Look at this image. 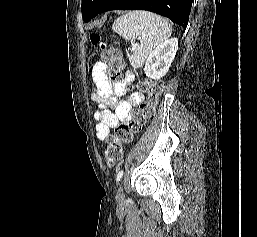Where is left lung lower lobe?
I'll return each instance as SVG.
<instances>
[{"label": "left lung lower lobe", "mask_w": 257, "mask_h": 237, "mask_svg": "<svg viewBox=\"0 0 257 237\" xmlns=\"http://www.w3.org/2000/svg\"><path fill=\"white\" fill-rule=\"evenodd\" d=\"M193 0H108L99 13L110 10H147L187 27Z\"/></svg>", "instance_id": "left-lung-lower-lobe-1"}]
</instances>
